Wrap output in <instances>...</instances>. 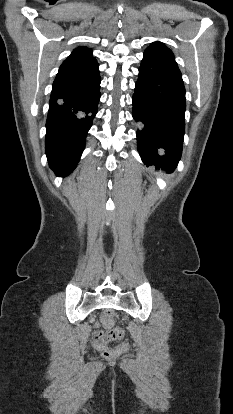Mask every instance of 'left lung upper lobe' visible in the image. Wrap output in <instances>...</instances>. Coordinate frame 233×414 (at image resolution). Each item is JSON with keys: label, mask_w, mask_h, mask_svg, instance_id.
<instances>
[{"label": "left lung upper lobe", "mask_w": 233, "mask_h": 414, "mask_svg": "<svg viewBox=\"0 0 233 414\" xmlns=\"http://www.w3.org/2000/svg\"><path fill=\"white\" fill-rule=\"evenodd\" d=\"M145 51L156 52L171 59H174L172 51L168 47H166L165 44L162 42L152 43Z\"/></svg>", "instance_id": "5c2ea615"}]
</instances>
